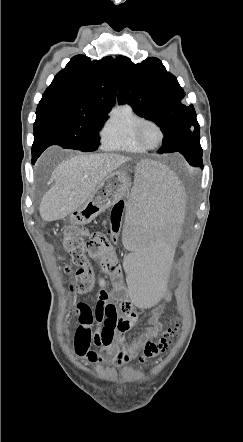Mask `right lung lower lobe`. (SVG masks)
<instances>
[{
	"mask_svg": "<svg viewBox=\"0 0 243 442\" xmlns=\"http://www.w3.org/2000/svg\"><path fill=\"white\" fill-rule=\"evenodd\" d=\"M45 149H46L45 147L38 148V149L35 147H32V160L35 161Z\"/></svg>",
	"mask_w": 243,
	"mask_h": 442,
	"instance_id": "right-lung-lower-lobe-1",
	"label": "right lung lower lobe"
}]
</instances>
